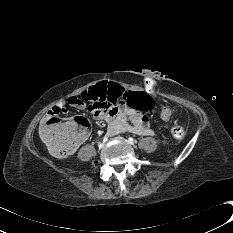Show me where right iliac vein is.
Returning <instances> with one entry per match:
<instances>
[{
    "label": "right iliac vein",
    "mask_w": 233,
    "mask_h": 233,
    "mask_svg": "<svg viewBox=\"0 0 233 233\" xmlns=\"http://www.w3.org/2000/svg\"><path fill=\"white\" fill-rule=\"evenodd\" d=\"M104 146H105V143H101V144H99V148H100V149H103V148H104Z\"/></svg>",
    "instance_id": "right-iliac-vein-1"
}]
</instances>
